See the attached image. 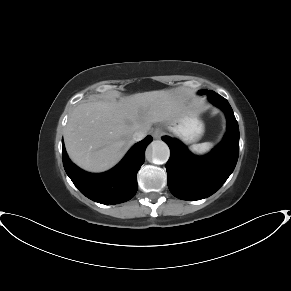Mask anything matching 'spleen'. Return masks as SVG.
Masks as SVG:
<instances>
[{"mask_svg":"<svg viewBox=\"0 0 291 291\" xmlns=\"http://www.w3.org/2000/svg\"><path fill=\"white\" fill-rule=\"evenodd\" d=\"M213 145L214 144L212 142L193 144L192 146H190V150L195 154L203 155L209 152L212 149Z\"/></svg>","mask_w":291,"mask_h":291,"instance_id":"1","label":"spleen"}]
</instances>
